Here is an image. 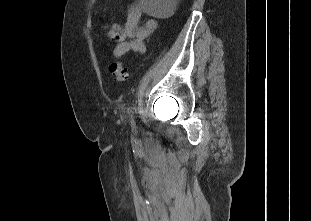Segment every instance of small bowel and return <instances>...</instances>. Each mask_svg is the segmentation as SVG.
<instances>
[{
  "label": "small bowel",
  "mask_w": 311,
  "mask_h": 221,
  "mask_svg": "<svg viewBox=\"0 0 311 221\" xmlns=\"http://www.w3.org/2000/svg\"><path fill=\"white\" fill-rule=\"evenodd\" d=\"M142 16V8L138 4H132L127 9V19L122 28L125 38L119 42L113 51L116 58H120L127 53H144L146 38L156 30L157 20L150 17L141 26L139 24Z\"/></svg>",
  "instance_id": "small-bowel-1"
}]
</instances>
